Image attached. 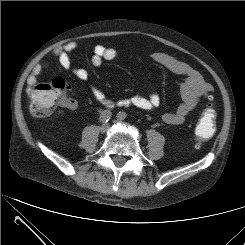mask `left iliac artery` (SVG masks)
<instances>
[{"label": "left iliac artery", "mask_w": 245, "mask_h": 245, "mask_svg": "<svg viewBox=\"0 0 245 245\" xmlns=\"http://www.w3.org/2000/svg\"><path fill=\"white\" fill-rule=\"evenodd\" d=\"M117 117H119L121 119H125L127 117V114L125 112H119Z\"/></svg>", "instance_id": "left-iliac-artery-1"}]
</instances>
